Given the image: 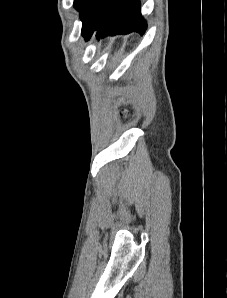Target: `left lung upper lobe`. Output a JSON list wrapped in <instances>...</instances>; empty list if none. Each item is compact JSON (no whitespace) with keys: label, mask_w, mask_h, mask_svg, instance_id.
I'll return each mask as SVG.
<instances>
[{"label":"left lung upper lobe","mask_w":227,"mask_h":298,"mask_svg":"<svg viewBox=\"0 0 227 298\" xmlns=\"http://www.w3.org/2000/svg\"><path fill=\"white\" fill-rule=\"evenodd\" d=\"M108 0H74V7L80 12L82 35L87 36L100 19Z\"/></svg>","instance_id":"5c2ea615"}]
</instances>
